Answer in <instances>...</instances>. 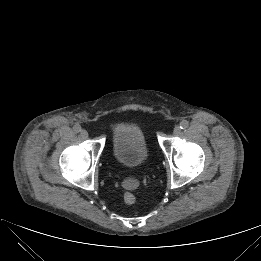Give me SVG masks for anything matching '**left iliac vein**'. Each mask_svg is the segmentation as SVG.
I'll use <instances>...</instances> for the list:
<instances>
[{
    "label": "left iliac vein",
    "mask_w": 261,
    "mask_h": 261,
    "mask_svg": "<svg viewBox=\"0 0 261 261\" xmlns=\"http://www.w3.org/2000/svg\"><path fill=\"white\" fill-rule=\"evenodd\" d=\"M180 132H181L180 126H175L173 129V134L178 135V134H180Z\"/></svg>",
    "instance_id": "left-iliac-vein-1"
}]
</instances>
